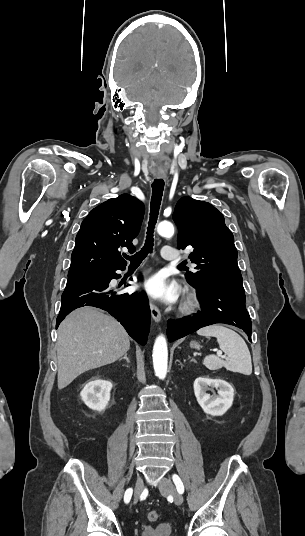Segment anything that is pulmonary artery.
<instances>
[{
  "instance_id": "pulmonary-artery-1",
  "label": "pulmonary artery",
  "mask_w": 305,
  "mask_h": 536,
  "mask_svg": "<svg viewBox=\"0 0 305 536\" xmlns=\"http://www.w3.org/2000/svg\"><path fill=\"white\" fill-rule=\"evenodd\" d=\"M175 253H176L175 246H173V245H170V246L163 245L161 247L160 257H161L162 260L167 261L170 264H173L177 260V257L175 255Z\"/></svg>"
}]
</instances>
